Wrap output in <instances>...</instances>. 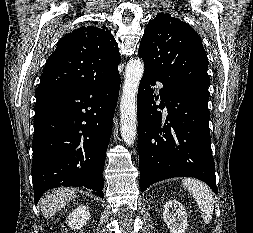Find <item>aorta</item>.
Wrapping results in <instances>:
<instances>
[{
    "label": "aorta",
    "instance_id": "1",
    "mask_svg": "<svg viewBox=\"0 0 253 233\" xmlns=\"http://www.w3.org/2000/svg\"><path fill=\"white\" fill-rule=\"evenodd\" d=\"M144 64L140 59H131L125 69V79L120 102L121 136L126 145L134 144L137 134L136 99Z\"/></svg>",
    "mask_w": 253,
    "mask_h": 233
}]
</instances>
